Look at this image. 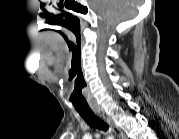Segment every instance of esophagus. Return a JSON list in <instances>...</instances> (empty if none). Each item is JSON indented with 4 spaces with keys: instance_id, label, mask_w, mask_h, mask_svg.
I'll return each instance as SVG.
<instances>
[{
    "instance_id": "34e87169",
    "label": "esophagus",
    "mask_w": 179,
    "mask_h": 139,
    "mask_svg": "<svg viewBox=\"0 0 179 139\" xmlns=\"http://www.w3.org/2000/svg\"><path fill=\"white\" fill-rule=\"evenodd\" d=\"M95 114L106 122L118 139H125L124 132L115 124L111 117L103 109H95Z\"/></svg>"
}]
</instances>
